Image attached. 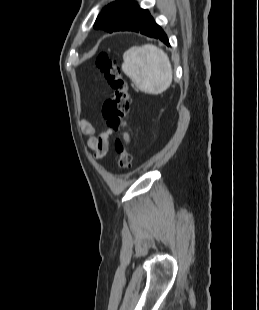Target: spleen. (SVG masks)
Listing matches in <instances>:
<instances>
[{"mask_svg": "<svg viewBox=\"0 0 259 310\" xmlns=\"http://www.w3.org/2000/svg\"><path fill=\"white\" fill-rule=\"evenodd\" d=\"M123 60V72L144 93L161 94L172 83L168 55L155 45L133 46L124 52Z\"/></svg>", "mask_w": 259, "mask_h": 310, "instance_id": "1", "label": "spleen"}]
</instances>
